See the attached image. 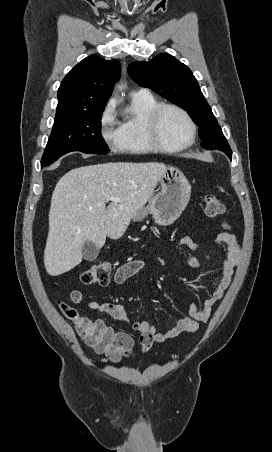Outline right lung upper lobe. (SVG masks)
I'll return each mask as SVG.
<instances>
[{"label": "right lung upper lobe", "instance_id": "1", "mask_svg": "<svg viewBox=\"0 0 272 452\" xmlns=\"http://www.w3.org/2000/svg\"><path fill=\"white\" fill-rule=\"evenodd\" d=\"M117 60L90 55L78 63L62 80L58 89L56 116L103 108L114 83L120 78Z\"/></svg>", "mask_w": 272, "mask_h": 452}]
</instances>
